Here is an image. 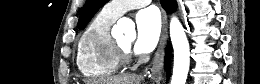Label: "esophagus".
Masks as SVG:
<instances>
[{"label":"esophagus","mask_w":260,"mask_h":84,"mask_svg":"<svg viewBox=\"0 0 260 84\" xmlns=\"http://www.w3.org/2000/svg\"><path fill=\"white\" fill-rule=\"evenodd\" d=\"M167 39H168L167 15L165 10L162 9V31H161L159 46L154 55L153 65L151 68L152 79L156 82H160L163 76L164 51H165Z\"/></svg>","instance_id":"obj_1"}]
</instances>
